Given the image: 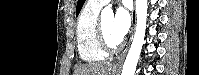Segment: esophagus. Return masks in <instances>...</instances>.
<instances>
[{
    "label": "esophagus",
    "instance_id": "34e87169",
    "mask_svg": "<svg viewBox=\"0 0 199 75\" xmlns=\"http://www.w3.org/2000/svg\"><path fill=\"white\" fill-rule=\"evenodd\" d=\"M136 25V12L135 10L132 11V33H131V39L133 38L134 30ZM129 45L125 48V50L120 54V56L117 58L115 65L121 67L123 64V61L125 59L126 53L128 51Z\"/></svg>",
    "mask_w": 199,
    "mask_h": 75
}]
</instances>
